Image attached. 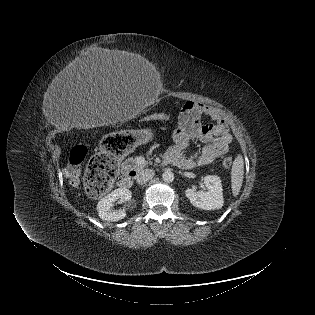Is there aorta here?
Segmentation results:
<instances>
[{
	"mask_svg": "<svg viewBox=\"0 0 315 315\" xmlns=\"http://www.w3.org/2000/svg\"><path fill=\"white\" fill-rule=\"evenodd\" d=\"M162 179L164 182L170 183L174 180V173L170 170H167L162 174Z\"/></svg>",
	"mask_w": 315,
	"mask_h": 315,
	"instance_id": "762f6f07",
	"label": "aorta"
}]
</instances>
